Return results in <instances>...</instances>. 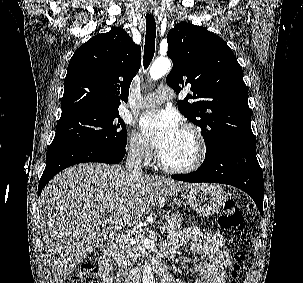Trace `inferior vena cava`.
I'll use <instances>...</instances> for the list:
<instances>
[{"mask_svg":"<svg viewBox=\"0 0 303 283\" xmlns=\"http://www.w3.org/2000/svg\"><path fill=\"white\" fill-rule=\"evenodd\" d=\"M143 147L135 146L130 149L126 159V168L131 172L133 176L143 175L142 171V156Z\"/></svg>","mask_w":303,"mask_h":283,"instance_id":"1","label":"inferior vena cava"}]
</instances>
